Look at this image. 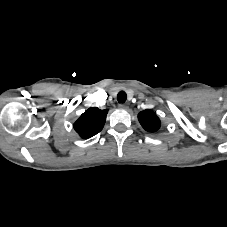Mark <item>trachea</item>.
Wrapping results in <instances>:
<instances>
[{
	"label": "trachea",
	"mask_w": 227,
	"mask_h": 227,
	"mask_svg": "<svg viewBox=\"0 0 227 227\" xmlns=\"http://www.w3.org/2000/svg\"><path fill=\"white\" fill-rule=\"evenodd\" d=\"M127 99V95L124 91H120L117 95V100L119 103H124Z\"/></svg>",
	"instance_id": "trachea-1"
}]
</instances>
